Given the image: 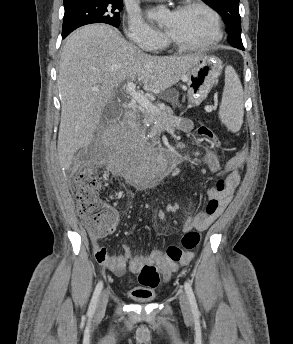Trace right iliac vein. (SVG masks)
<instances>
[{"label": "right iliac vein", "mask_w": 293, "mask_h": 344, "mask_svg": "<svg viewBox=\"0 0 293 344\" xmlns=\"http://www.w3.org/2000/svg\"><path fill=\"white\" fill-rule=\"evenodd\" d=\"M107 302H108V292L107 291H103L99 297L98 303H97V307H96V318H101L106 310V306H107Z\"/></svg>", "instance_id": "obj_1"}]
</instances>
